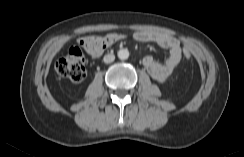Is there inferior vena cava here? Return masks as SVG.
<instances>
[{
  "mask_svg": "<svg viewBox=\"0 0 244 157\" xmlns=\"http://www.w3.org/2000/svg\"><path fill=\"white\" fill-rule=\"evenodd\" d=\"M115 60V56L113 54H107L104 56L103 61L105 63H111Z\"/></svg>",
  "mask_w": 244,
  "mask_h": 157,
  "instance_id": "obj_1",
  "label": "inferior vena cava"
}]
</instances>
